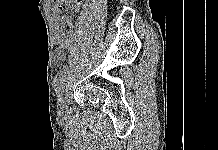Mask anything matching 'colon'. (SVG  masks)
Masks as SVG:
<instances>
[{
	"mask_svg": "<svg viewBox=\"0 0 218 150\" xmlns=\"http://www.w3.org/2000/svg\"><path fill=\"white\" fill-rule=\"evenodd\" d=\"M54 10L60 13L71 15L81 5L82 0H53Z\"/></svg>",
	"mask_w": 218,
	"mask_h": 150,
	"instance_id": "colon-1",
	"label": "colon"
}]
</instances>
